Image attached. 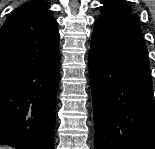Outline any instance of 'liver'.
<instances>
[{
	"mask_svg": "<svg viewBox=\"0 0 155 149\" xmlns=\"http://www.w3.org/2000/svg\"><path fill=\"white\" fill-rule=\"evenodd\" d=\"M0 149H11V148H7V147H1V146H0Z\"/></svg>",
	"mask_w": 155,
	"mask_h": 149,
	"instance_id": "liver-1",
	"label": "liver"
}]
</instances>
